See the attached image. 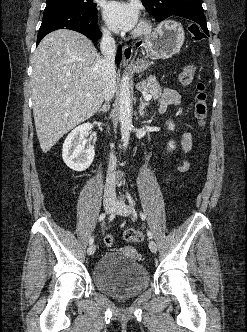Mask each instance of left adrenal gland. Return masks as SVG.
Instances as JSON below:
<instances>
[{
    "instance_id": "a2214340",
    "label": "left adrenal gland",
    "mask_w": 247,
    "mask_h": 332,
    "mask_svg": "<svg viewBox=\"0 0 247 332\" xmlns=\"http://www.w3.org/2000/svg\"><path fill=\"white\" fill-rule=\"evenodd\" d=\"M149 106V103L148 102H144L142 98H140V106H139V115L141 117H144V114H145V110L146 108Z\"/></svg>"
}]
</instances>
